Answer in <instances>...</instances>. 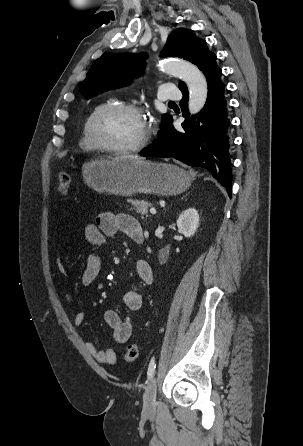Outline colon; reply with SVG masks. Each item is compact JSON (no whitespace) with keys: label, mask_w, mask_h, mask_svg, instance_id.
I'll return each mask as SVG.
<instances>
[{"label":"colon","mask_w":303,"mask_h":446,"mask_svg":"<svg viewBox=\"0 0 303 446\" xmlns=\"http://www.w3.org/2000/svg\"><path fill=\"white\" fill-rule=\"evenodd\" d=\"M58 188L63 195H67L71 189V179L65 172H59L58 174ZM140 352V346L138 343L129 344L124 352V361L130 363L137 359Z\"/></svg>","instance_id":"1"}]
</instances>
